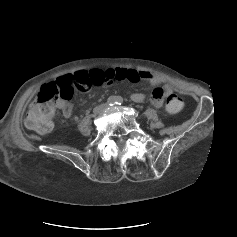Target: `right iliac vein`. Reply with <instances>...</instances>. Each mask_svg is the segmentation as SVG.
<instances>
[{
  "instance_id": "right-iliac-vein-1",
  "label": "right iliac vein",
  "mask_w": 237,
  "mask_h": 237,
  "mask_svg": "<svg viewBox=\"0 0 237 237\" xmlns=\"http://www.w3.org/2000/svg\"><path fill=\"white\" fill-rule=\"evenodd\" d=\"M105 109V106H101L97 109V112H102Z\"/></svg>"
}]
</instances>
